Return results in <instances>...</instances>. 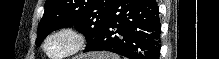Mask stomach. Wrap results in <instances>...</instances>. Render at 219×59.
I'll return each mask as SVG.
<instances>
[{
    "mask_svg": "<svg viewBox=\"0 0 219 59\" xmlns=\"http://www.w3.org/2000/svg\"><path fill=\"white\" fill-rule=\"evenodd\" d=\"M91 57H92V58H98V59H107V58H105V57H108V58H109L108 55H107V56H103V55H100V54H93V55H91Z\"/></svg>",
    "mask_w": 219,
    "mask_h": 59,
    "instance_id": "obj_1",
    "label": "stomach"
}]
</instances>
